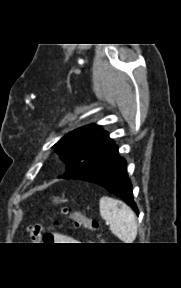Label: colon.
<instances>
[{
    "label": "colon",
    "mask_w": 181,
    "mask_h": 288,
    "mask_svg": "<svg viewBox=\"0 0 181 288\" xmlns=\"http://www.w3.org/2000/svg\"><path fill=\"white\" fill-rule=\"evenodd\" d=\"M62 215L69 218L75 225V227H84L93 232L100 230L98 221L90 219L85 216L81 211H71L67 208H63ZM29 237L31 242H51L52 234L49 233L43 225L36 224L28 227Z\"/></svg>",
    "instance_id": "colon-1"
}]
</instances>
